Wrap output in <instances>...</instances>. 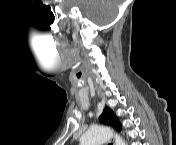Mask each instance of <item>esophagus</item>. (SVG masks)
<instances>
[{"instance_id": "34e87169", "label": "esophagus", "mask_w": 176, "mask_h": 145, "mask_svg": "<svg viewBox=\"0 0 176 145\" xmlns=\"http://www.w3.org/2000/svg\"><path fill=\"white\" fill-rule=\"evenodd\" d=\"M107 145H114L112 140H109V142L107 143Z\"/></svg>"}]
</instances>
